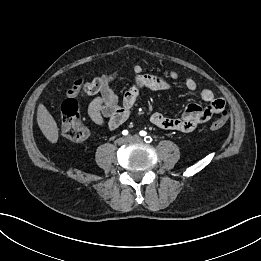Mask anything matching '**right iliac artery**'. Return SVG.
Here are the masks:
<instances>
[{
  "mask_svg": "<svg viewBox=\"0 0 261 261\" xmlns=\"http://www.w3.org/2000/svg\"><path fill=\"white\" fill-rule=\"evenodd\" d=\"M122 134H123L124 136H126V135H128V131H127V130H123V131H122Z\"/></svg>",
  "mask_w": 261,
  "mask_h": 261,
  "instance_id": "82829eb1",
  "label": "right iliac artery"
}]
</instances>
